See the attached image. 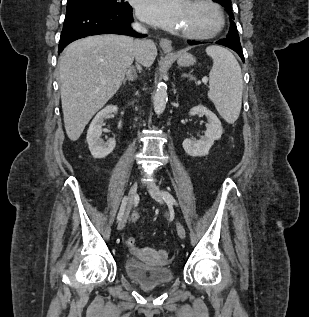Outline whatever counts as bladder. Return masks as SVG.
Wrapping results in <instances>:
<instances>
[{
    "label": "bladder",
    "mask_w": 309,
    "mask_h": 317,
    "mask_svg": "<svg viewBox=\"0 0 309 317\" xmlns=\"http://www.w3.org/2000/svg\"><path fill=\"white\" fill-rule=\"evenodd\" d=\"M125 274L145 289H153L169 284L174 279V272L168 265H152L134 257L124 261Z\"/></svg>",
    "instance_id": "1"
}]
</instances>
